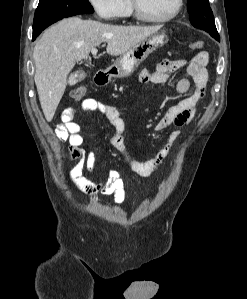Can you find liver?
I'll use <instances>...</instances> for the list:
<instances>
[{
  "label": "liver",
  "instance_id": "1",
  "mask_svg": "<svg viewBox=\"0 0 247 299\" xmlns=\"http://www.w3.org/2000/svg\"><path fill=\"white\" fill-rule=\"evenodd\" d=\"M162 26H119L79 17L63 19L49 27L33 51L34 80L44 116L50 122L67 86L74 65L92 48L106 42L107 53L123 55Z\"/></svg>",
  "mask_w": 247,
  "mask_h": 299
}]
</instances>
